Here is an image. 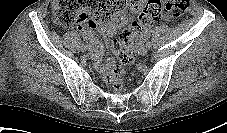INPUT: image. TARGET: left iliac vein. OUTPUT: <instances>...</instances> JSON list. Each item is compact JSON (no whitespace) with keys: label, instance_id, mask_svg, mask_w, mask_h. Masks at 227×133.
Wrapping results in <instances>:
<instances>
[{"label":"left iliac vein","instance_id":"obj_1","mask_svg":"<svg viewBox=\"0 0 227 133\" xmlns=\"http://www.w3.org/2000/svg\"><path fill=\"white\" fill-rule=\"evenodd\" d=\"M148 50H149V46H148V44L146 43L145 45L141 46V48L139 49V53H140L142 56H144V55L147 54Z\"/></svg>","mask_w":227,"mask_h":133}]
</instances>
